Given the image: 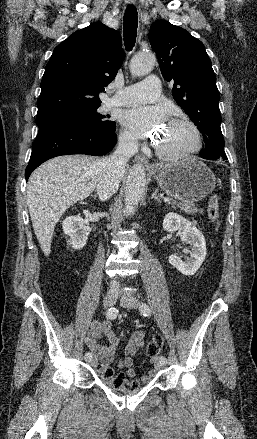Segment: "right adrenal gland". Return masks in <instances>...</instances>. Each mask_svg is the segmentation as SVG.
I'll return each instance as SVG.
<instances>
[{
    "mask_svg": "<svg viewBox=\"0 0 257 439\" xmlns=\"http://www.w3.org/2000/svg\"><path fill=\"white\" fill-rule=\"evenodd\" d=\"M93 197L96 199V198H97V195L95 194V195H93Z\"/></svg>",
    "mask_w": 257,
    "mask_h": 439,
    "instance_id": "right-adrenal-gland-1",
    "label": "right adrenal gland"
}]
</instances>
